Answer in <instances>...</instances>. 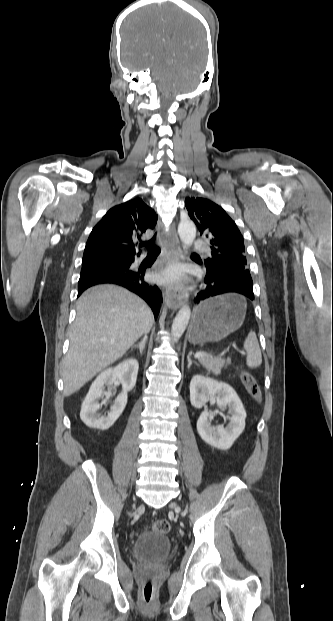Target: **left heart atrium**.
Masks as SVG:
<instances>
[{
    "label": "left heart atrium",
    "mask_w": 333,
    "mask_h": 621,
    "mask_svg": "<svg viewBox=\"0 0 333 621\" xmlns=\"http://www.w3.org/2000/svg\"><path fill=\"white\" fill-rule=\"evenodd\" d=\"M158 278L162 281L176 284L181 279V270L174 265L168 266L165 270L161 272Z\"/></svg>",
    "instance_id": "39dd6f15"
}]
</instances>
